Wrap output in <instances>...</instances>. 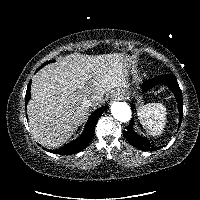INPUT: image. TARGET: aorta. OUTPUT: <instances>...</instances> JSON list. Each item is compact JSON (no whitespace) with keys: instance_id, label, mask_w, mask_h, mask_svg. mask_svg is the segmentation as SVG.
<instances>
[{"instance_id":"1","label":"aorta","mask_w":200,"mask_h":200,"mask_svg":"<svg viewBox=\"0 0 200 200\" xmlns=\"http://www.w3.org/2000/svg\"><path fill=\"white\" fill-rule=\"evenodd\" d=\"M111 114L115 119L121 122H127L131 119V109L124 102H114L111 105Z\"/></svg>"}]
</instances>
